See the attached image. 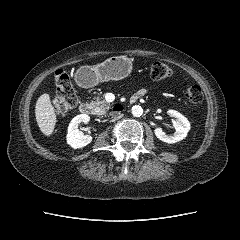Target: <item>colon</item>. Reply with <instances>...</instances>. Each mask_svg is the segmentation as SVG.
<instances>
[{
  "label": "colon",
  "mask_w": 240,
  "mask_h": 240,
  "mask_svg": "<svg viewBox=\"0 0 240 240\" xmlns=\"http://www.w3.org/2000/svg\"><path fill=\"white\" fill-rule=\"evenodd\" d=\"M150 75L153 80L163 81L172 75V69L168 64L157 61L152 64ZM55 85L56 95L53 106L57 113H65L77 104V94L66 70L58 69L55 72ZM184 97L192 105H200L204 100L203 91L198 85L187 87Z\"/></svg>",
  "instance_id": "5ec220e1"
}]
</instances>
